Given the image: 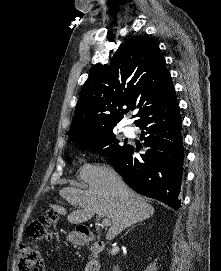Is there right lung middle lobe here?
<instances>
[{
    "label": "right lung middle lobe",
    "instance_id": "obj_1",
    "mask_svg": "<svg viewBox=\"0 0 221 271\" xmlns=\"http://www.w3.org/2000/svg\"><path fill=\"white\" fill-rule=\"evenodd\" d=\"M73 141H76V146L81 150H87L106 156L111 163H113L128 146L127 143L120 144L121 141L116 139L113 128L82 136Z\"/></svg>",
    "mask_w": 221,
    "mask_h": 271
}]
</instances>
